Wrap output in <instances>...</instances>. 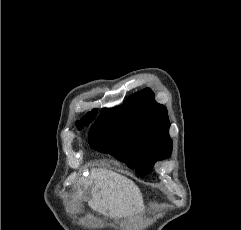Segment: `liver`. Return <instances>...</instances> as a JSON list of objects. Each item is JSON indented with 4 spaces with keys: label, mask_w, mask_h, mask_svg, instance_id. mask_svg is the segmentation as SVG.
<instances>
[{
    "label": "liver",
    "mask_w": 241,
    "mask_h": 230,
    "mask_svg": "<svg viewBox=\"0 0 241 230\" xmlns=\"http://www.w3.org/2000/svg\"><path fill=\"white\" fill-rule=\"evenodd\" d=\"M90 181L95 186L88 204L97 212L105 215L110 210V216L114 217L141 208L140 190L126 177L109 170L94 169Z\"/></svg>",
    "instance_id": "liver-1"
}]
</instances>
